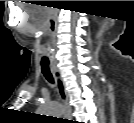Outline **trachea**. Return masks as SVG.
I'll return each mask as SVG.
<instances>
[{
	"mask_svg": "<svg viewBox=\"0 0 134 123\" xmlns=\"http://www.w3.org/2000/svg\"><path fill=\"white\" fill-rule=\"evenodd\" d=\"M41 70L42 73L44 75V77L50 82L53 83V78H52V74L50 72V67H49V63H46L44 61L41 62Z\"/></svg>",
	"mask_w": 134,
	"mask_h": 123,
	"instance_id": "trachea-1",
	"label": "trachea"
}]
</instances>
